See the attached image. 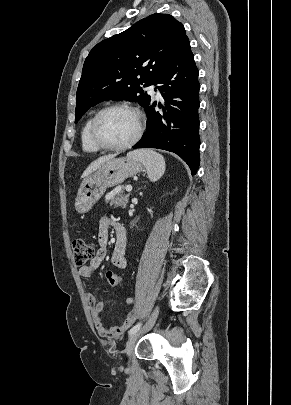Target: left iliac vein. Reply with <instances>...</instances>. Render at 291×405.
<instances>
[{
    "instance_id": "left-iliac-vein-1",
    "label": "left iliac vein",
    "mask_w": 291,
    "mask_h": 405,
    "mask_svg": "<svg viewBox=\"0 0 291 405\" xmlns=\"http://www.w3.org/2000/svg\"><path fill=\"white\" fill-rule=\"evenodd\" d=\"M158 312H159V307L157 306V307L154 309L150 320H149L148 323L143 327V329H141L140 331L138 330V331L135 332L134 334L130 335V337H129L127 343H126V347H125V353H126V355H127L128 357L131 356V354H132V352H133V350H134V347H135V345H136V342H137V340L139 339V337H140L143 333L147 332L148 330H150V329L153 327V325H154V323H155V321H156V319H157Z\"/></svg>"
}]
</instances>
